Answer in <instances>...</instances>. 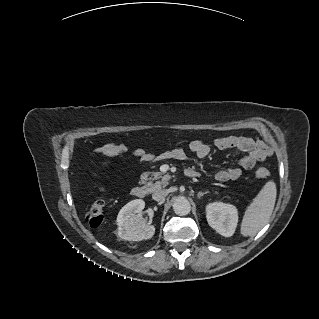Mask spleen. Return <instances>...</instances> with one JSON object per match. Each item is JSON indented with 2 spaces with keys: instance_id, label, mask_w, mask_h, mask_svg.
I'll list each match as a JSON object with an SVG mask.
<instances>
[{
  "instance_id": "obj_1",
  "label": "spleen",
  "mask_w": 319,
  "mask_h": 319,
  "mask_svg": "<svg viewBox=\"0 0 319 319\" xmlns=\"http://www.w3.org/2000/svg\"><path fill=\"white\" fill-rule=\"evenodd\" d=\"M274 181H268L247 207L241 223V234L255 236L269 221L276 201Z\"/></svg>"
}]
</instances>
